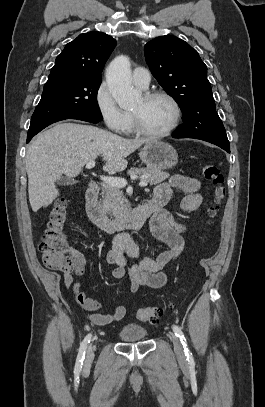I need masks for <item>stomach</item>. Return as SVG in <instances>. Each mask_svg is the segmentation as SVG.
I'll use <instances>...</instances> for the list:
<instances>
[{
  "label": "stomach",
  "mask_w": 265,
  "mask_h": 407,
  "mask_svg": "<svg viewBox=\"0 0 265 407\" xmlns=\"http://www.w3.org/2000/svg\"><path fill=\"white\" fill-rule=\"evenodd\" d=\"M140 159L150 169L166 170L178 163V154L170 144L154 140L140 150Z\"/></svg>",
  "instance_id": "1"
}]
</instances>
